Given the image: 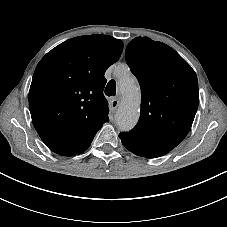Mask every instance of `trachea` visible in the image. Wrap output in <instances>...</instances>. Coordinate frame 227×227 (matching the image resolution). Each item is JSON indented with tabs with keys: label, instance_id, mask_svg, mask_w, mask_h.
<instances>
[{
	"label": "trachea",
	"instance_id": "1",
	"mask_svg": "<svg viewBox=\"0 0 227 227\" xmlns=\"http://www.w3.org/2000/svg\"><path fill=\"white\" fill-rule=\"evenodd\" d=\"M115 93H116V82H115V80H110L107 83V86L105 88V94L107 96H114Z\"/></svg>",
	"mask_w": 227,
	"mask_h": 227
}]
</instances>
